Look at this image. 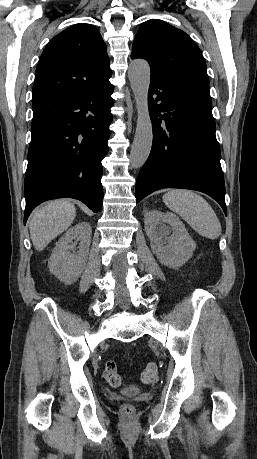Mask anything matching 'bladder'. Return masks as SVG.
I'll list each match as a JSON object with an SVG mask.
<instances>
[{"mask_svg":"<svg viewBox=\"0 0 257 459\" xmlns=\"http://www.w3.org/2000/svg\"><path fill=\"white\" fill-rule=\"evenodd\" d=\"M128 392L129 393H134V392H136V389L135 388H130V389H128Z\"/></svg>","mask_w":257,"mask_h":459,"instance_id":"1","label":"bladder"}]
</instances>
